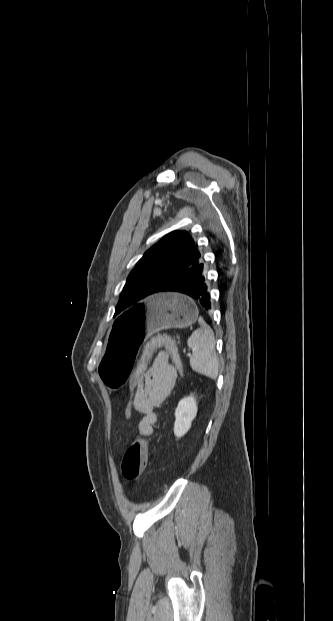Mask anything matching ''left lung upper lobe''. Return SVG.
Instances as JSON below:
<instances>
[{
  "label": "left lung upper lobe",
  "instance_id": "obj_1",
  "mask_svg": "<svg viewBox=\"0 0 333 621\" xmlns=\"http://www.w3.org/2000/svg\"><path fill=\"white\" fill-rule=\"evenodd\" d=\"M203 261L187 231H173L145 252L127 278L115 315L158 293L168 281Z\"/></svg>",
  "mask_w": 333,
  "mask_h": 621
}]
</instances>
